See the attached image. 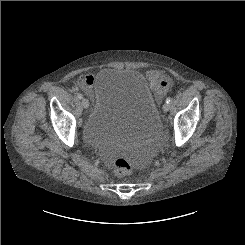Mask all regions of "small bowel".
Returning <instances> with one entry per match:
<instances>
[{
  "mask_svg": "<svg viewBox=\"0 0 245 245\" xmlns=\"http://www.w3.org/2000/svg\"><path fill=\"white\" fill-rule=\"evenodd\" d=\"M147 80L152 91L158 96L162 97L169 90L171 86V79L168 77H162L157 72L148 71L146 73ZM79 86L88 94L92 90V76H85L79 82Z\"/></svg>",
  "mask_w": 245,
  "mask_h": 245,
  "instance_id": "1",
  "label": "small bowel"
}]
</instances>
